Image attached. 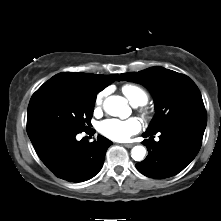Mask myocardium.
<instances>
[{"label":"myocardium","instance_id":"1","mask_svg":"<svg viewBox=\"0 0 221 221\" xmlns=\"http://www.w3.org/2000/svg\"><path fill=\"white\" fill-rule=\"evenodd\" d=\"M142 114H143L144 117H148V112L142 111Z\"/></svg>","mask_w":221,"mask_h":221}]
</instances>
